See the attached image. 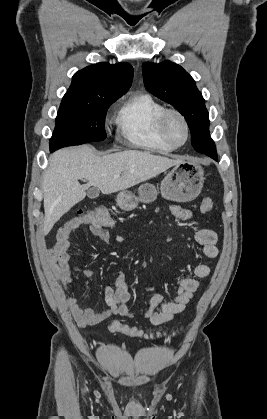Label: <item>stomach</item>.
I'll return each instance as SVG.
<instances>
[{
  "mask_svg": "<svg viewBox=\"0 0 267 419\" xmlns=\"http://www.w3.org/2000/svg\"><path fill=\"white\" fill-rule=\"evenodd\" d=\"M204 168L196 161L182 160L165 176L161 182V195L171 201L188 202L195 199L202 190ZM154 185L144 183L138 189V196L130 191L122 190L116 197L117 205L124 211H131L139 202L150 203L157 197Z\"/></svg>",
  "mask_w": 267,
  "mask_h": 419,
  "instance_id": "1",
  "label": "stomach"
}]
</instances>
